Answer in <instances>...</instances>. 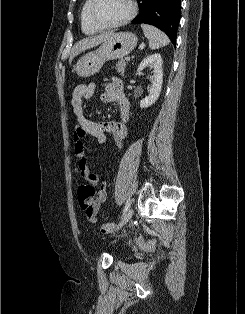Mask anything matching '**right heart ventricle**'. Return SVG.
<instances>
[{
	"mask_svg": "<svg viewBox=\"0 0 245 314\" xmlns=\"http://www.w3.org/2000/svg\"><path fill=\"white\" fill-rule=\"evenodd\" d=\"M91 3H92V0H85L82 6L81 15H80L81 29L85 34H95L101 30V28L97 27L93 23L90 17Z\"/></svg>",
	"mask_w": 245,
	"mask_h": 314,
	"instance_id": "right-heart-ventricle-1",
	"label": "right heart ventricle"
}]
</instances>
